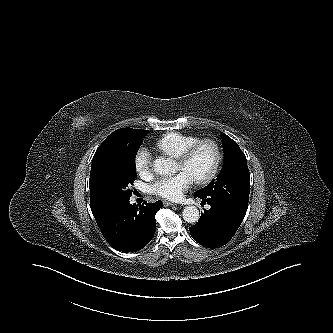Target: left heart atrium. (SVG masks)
I'll return each instance as SVG.
<instances>
[{"label":"left heart atrium","mask_w":333,"mask_h":333,"mask_svg":"<svg viewBox=\"0 0 333 333\" xmlns=\"http://www.w3.org/2000/svg\"><path fill=\"white\" fill-rule=\"evenodd\" d=\"M194 179L185 171H180L173 176H164L154 181L150 190L155 195L168 199L179 200L191 187Z\"/></svg>","instance_id":"obj_1"}]
</instances>
